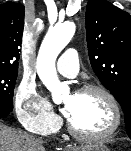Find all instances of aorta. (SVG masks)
Instances as JSON below:
<instances>
[{
  "label": "aorta",
  "instance_id": "aorta-1",
  "mask_svg": "<svg viewBox=\"0 0 131 151\" xmlns=\"http://www.w3.org/2000/svg\"><path fill=\"white\" fill-rule=\"evenodd\" d=\"M74 32L75 26L71 22L56 25L46 34L38 53L37 73L54 98L61 94V83L57 77L55 62Z\"/></svg>",
  "mask_w": 131,
  "mask_h": 151
}]
</instances>
